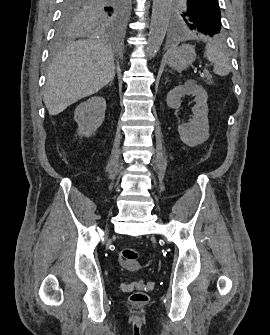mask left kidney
Listing matches in <instances>:
<instances>
[{"label":"left kidney","instance_id":"left-kidney-1","mask_svg":"<svg viewBox=\"0 0 270 335\" xmlns=\"http://www.w3.org/2000/svg\"><path fill=\"white\" fill-rule=\"evenodd\" d=\"M185 94L187 96H190V94L196 96V106L192 108L194 114L192 120H190L189 124L178 126V132L183 144L190 146V148H195V146L203 144L209 138L208 96L202 86H197V82L187 80L184 86H176V88L170 90L169 94H167V106L178 112V108L181 106L180 98L185 96Z\"/></svg>","mask_w":270,"mask_h":335}]
</instances>
